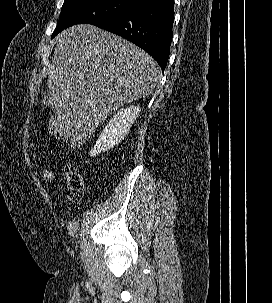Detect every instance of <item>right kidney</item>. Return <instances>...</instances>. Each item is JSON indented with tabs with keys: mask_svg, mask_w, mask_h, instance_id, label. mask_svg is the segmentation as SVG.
Masks as SVG:
<instances>
[{
	"mask_svg": "<svg viewBox=\"0 0 272 303\" xmlns=\"http://www.w3.org/2000/svg\"><path fill=\"white\" fill-rule=\"evenodd\" d=\"M139 113V106H130L118 111L99 135L94 148L90 151V155L92 157L96 156L118 145L128 134Z\"/></svg>",
	"mask_w": 272,
	"mask_h": 303,
	"instance_id": "right-kidney-1",
	"label": "right kidney"
}]
</instances>
